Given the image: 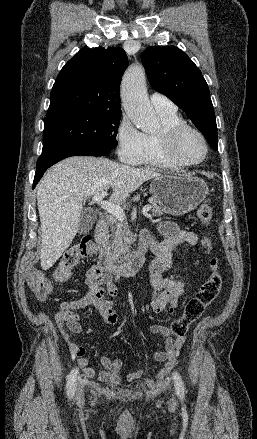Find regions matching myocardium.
<instances>
[{
    "label": "myocardium",
    "instance_id": "f54148a6",
    "mask_svg": "<svg viewBox=\"0 0 257 439\" xmlns=\"http://www.w3.org/2000/svg\"><path fill=\"white\" fill-rule=\"evenodd\" d=\"M188 131L195 133L200 138L204 146V154L202 158L195 162L183 161L176 153V145L178 140L184 133ZM160 145L167 160L172 165L179 168H191L198 166L205 161L209 153V145L205 135L199 129L187 123H180L165 129L160 136Z\"/></svg>",
    "mask_w": 257,
    "mask_h": 439
}]
</instances>
